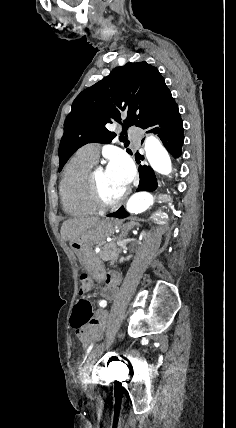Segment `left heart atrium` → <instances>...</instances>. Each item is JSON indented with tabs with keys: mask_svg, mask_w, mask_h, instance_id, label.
I'll return each instance as SVG.
<instances>
[{
	"mask_svg": "<svg viewBox=\"0 0 236 428\" xmlns=\"http://www.w3.org/2000/svg\"><path fill=\"white\" fill-rule=\"evenodd\" d=\"M108 170L122 178L125 184L129 185L134 177L132 163L124 156L112 157L109 161Z\"/></svg>",
	"mask_w": 236,
	"mask_h": 428,
	"instance_id": "1",
	"label": "left heart atrium"
}]
</instances>
